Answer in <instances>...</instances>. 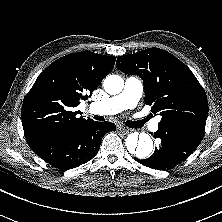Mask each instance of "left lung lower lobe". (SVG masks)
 Returning <instances> with one entry per match:
<instances>
[{
  "instance_id": "left-lung-lower-lobe-1",
  "label": "left lung lower lobe",
  "mask_w": 222,
  "mask_h": 222,
  "mask_svg": "<svg viewBox=\"0 0 222 222\" xmlns=\"http://www.w3.org/2000/svg\"><path fill=\"white\" fill-rule=\"evenodd\" d=\"M205 128L189 123H159L154 137L161 139L159 148L147 159L135 158L140 164L157 170H170L184 161L199 145Z\"/></svg>"
}]
</instances>
